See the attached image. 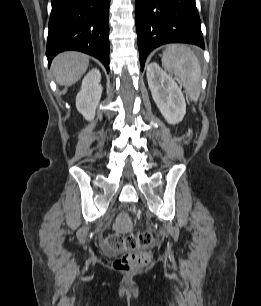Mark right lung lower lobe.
<instances>
[{
  "label": "right lung lower lobe",
  "mask_w": 261,
  "mask_h": 306,
  "mask_svg": "<svg viewBox=\"0 0 261 306\" xmlns=\"http://www.w3.org/2000/svg\"><path fill=\"white\" fill-rule=\"evenodd\" d=\"M110 0H52L46 56L77 50L99 59L109 72Z\"/></svg>",
  "instance_id": "right-lung-lower-lobe-1"
}]
</instances>
